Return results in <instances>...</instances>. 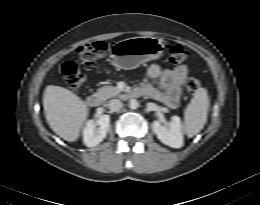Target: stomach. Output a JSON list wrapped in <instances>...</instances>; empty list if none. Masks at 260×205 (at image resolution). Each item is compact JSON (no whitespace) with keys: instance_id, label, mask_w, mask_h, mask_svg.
<instances>
[{"instance_id":"0dacf381","label":"stomach","mask_w":260,"mask_h":205,"mask_svg":"<svg viewBox=\"0 0 260 205\" xmlns=\"http://www.w3.org/2000/svg\"><path fill=\"white\" fill-rule=\"evenodd\" d=\"M164 45L155 37H133L117 42L111 51L112 63L122 69H134L144 62L159 59Z\"/></svg>"}]
</instances>
